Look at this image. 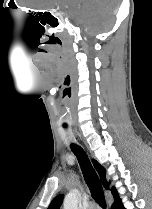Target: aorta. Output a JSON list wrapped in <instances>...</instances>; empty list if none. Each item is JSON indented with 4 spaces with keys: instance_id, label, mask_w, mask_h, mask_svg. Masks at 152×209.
I'll list each match as a JSON object with an SVG mask.
<instances>
[{
    "instance_id": "1",
    "label": "aorta",
    "mask_w": 152,
    "mask_h": 209,
    "mask_svg": "<svg viewBox=\"0 0 152 209\" xmlns=\"http://www.w3.org/2000/svg\"><path fill=\"white\" fill-rule=\"evenodd\" d=\"M78 190H71L64 198L63 209H78Z\"/></svg>"
}]
</instances>
